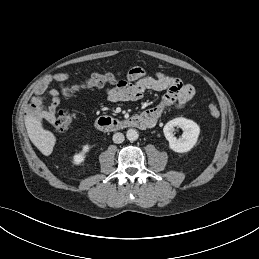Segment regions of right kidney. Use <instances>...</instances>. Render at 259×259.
Listing matches in <instances>:
<instances>
[{
	"mask_svg": "<svg viewBox=\"0 0 259 259\" xmlns=\"http://www.w3.org/2000/svg\"><path fill=\"white\" fill-rule=\"evenodd\" d=\"M90 146L85 144L82 146V150L73 156L72 162L74 165H80L84 162L86 154L89 152Z\"/></svg>",
	"mask_w": 259,
	"mask_h": 259,
	"instance_id": "ca27d5eb",
	"label": "right kidney"
}]
</instances>
